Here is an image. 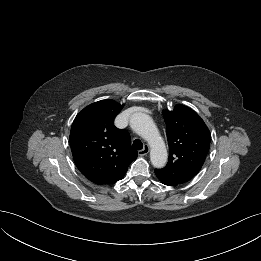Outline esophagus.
Listing matches in <instances>:
<instances>
[{"instance_id": "esophagus-1", "label": "esophagus", "mask_w": 261, "mask_h": 261, "mask_svg": "<svg viewBox=\"0 0 261 261\" xmlns=\"http://www.w3.org/2000/svg\"><path fill=\"white\" fill-rule=\"evenodd\" d=\"M149 150H150L149 146L145 145L142 150L138 151V155L139 156H145V155H147L149 153Z\"/></svg>"}]
</instances>
